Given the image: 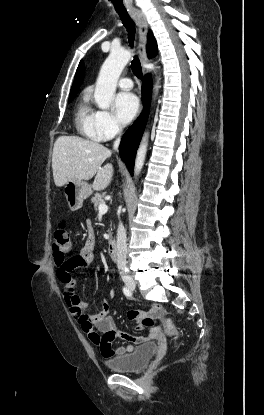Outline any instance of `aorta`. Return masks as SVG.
Returning a JSON list of instances; mask_svg holds the SVG:
<instances>
[{"label":"aorta","instance_id":"aorta-1","mask_svg":"<svg viewBox=\"0 0 264 415\" xmlns=\"http://www.w3.org/2000/svg\"><path fill=\"white\" fill-rule=\"evenodd\" d=\"M131 53L125 49H112L107 59L104 61L96 82L94 98L98 107L101 109H109L116 91L117 81L127 65ZM156 85L155 89L158 90ZM148 146V133H145L135 159V175H139L144 165Z\"/></svg>","mask_w":264,"mask_h":415}]
</instances>
